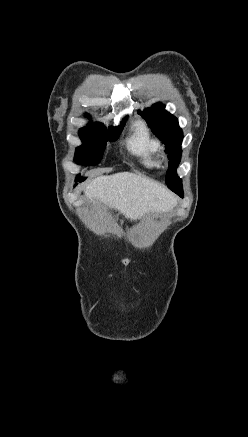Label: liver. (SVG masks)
Wrapping results in <instances>:
<instances>
[{
  "instance_id": "obj_1",
  "label": "liver",
  "mask_w": 248,
  "mask_h": 437,
  "mask_svg": "<svg viewBox=\"0 0 248 437\" xmlns=\"http://www.w3.org/2000/svg\"><path fill=\"white\" fill-rule=\"evenodd\" d=\"M84 193L88 200H100L131 220L170 211L177 203L166 187L131 172L99 176Z\"/></svg>"
}]
</instances>
